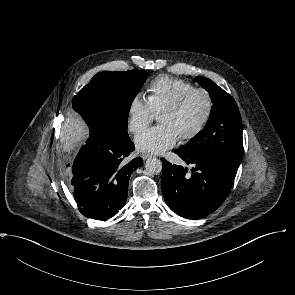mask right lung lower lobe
<instances>
[{
  "label": "right lung lower lobe",
  "mask_w": 295,
  "mask_h": 295,
  "mask_svg": "<svg viewBox=\"0 0 295 295\" xmlns=\"http://www.w3.org/2000/svg\"><path fill=\"white\" fill-rule=\"evenodd\" d=\"M89 131L70 166V182L79 211L88 218L106 220L126 204L130 175L143 160L137 157L124 164L134 150L129 136L117 139L94 127Z\"/></svg>",
  "instance_id": "obj_1"
}]
</instances>
